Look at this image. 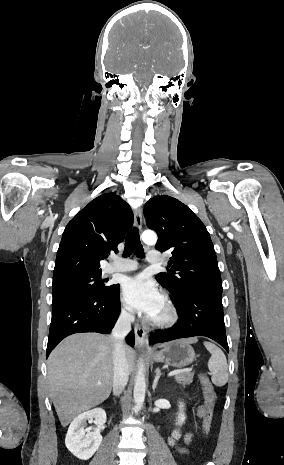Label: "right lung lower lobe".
I'll return each mask as SVG.
<instances>
[{"label": "right lung lower lobe", "instance_id": "98d812e1", "mask_svg": "<svg viewBox=\"0 0 284 465\" xmlns=\"http://www.w3.org/2000/svg\"><path fill=\"white\" fill-rule=\"evenodd\" d=\"M120 286L106 293H76L52 302V319L48 337L47 353L65 337L82 332L110 333L120 313ZM134 346L135 336L131 331L126 337Z\"/></svg>", "mask_w": 284, "mask_h": 465}]
</instances>
